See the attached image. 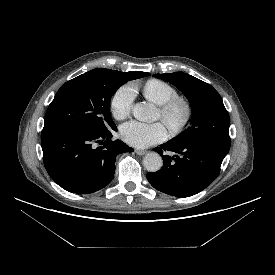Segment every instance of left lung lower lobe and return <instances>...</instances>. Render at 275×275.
Segmentation results:
<instances>
[{
    "label": "left lung lower lobe",
    "mask_w": 275,
    "mask_h": 275,
    "mask_svg": "<svg viewBox=\"0 0 275 275\" xmlns=\"http://www.w3.org/2000/svg\"><path fill=\"white\" fill-rule=\"evenodd\" d=\"M153 150L163 158L162 168L147 174V180L157 190L176 197H189L201 192L219 175L227 149L197 143L168 141ZM171 151L173 156L163 155Z\"/></svg>",
    "instance_id": "0a47b994"
}]
</instances>
